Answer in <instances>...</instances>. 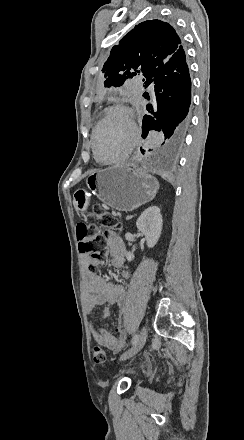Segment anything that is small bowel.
Instances as JSON below:
<instances>
[{"mask_svg": "<svg viewBox=\"0 0 244 440\" xmlns=\"http://www.w3.org/2000/svg\"><path fill=\"white\" fill-rule=\"evenodd\" d=\"M108 252L111 265L118 270V276L125 281L129 278L127 271L123 270L125 263L126 247L122 238L117 234H111L107 240ZM88 263V257L84 258ZM85 296L88 312L91 313L95 307L102 308L103 316L107 315L109 307L118 306L122 312L128 309L126 287L123 283H113L106 281L103 277L85 270ZM117 336L110 333L103 327H96L90 323V334L93 340L107 348L108 350L119 353L127 343V336L124 332L122 323L119 322L116 328Z\"/></svg>", "mask_w": 244, "mask_h": 440, "instance_id": "obj_1", "label": "small bowel"}]
</instances>
